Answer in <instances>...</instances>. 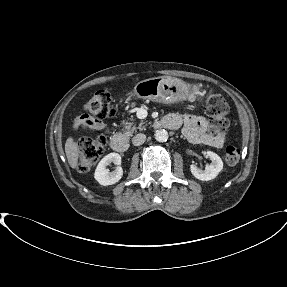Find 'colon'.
Instances as JSON below:
<instances>
[{"instance_id":"colon-1","label":"colon","mask_w":287,"mask_h":287,"mask_svg":"<svg viewBox=\"0 0 287 287\" xmlns=\"http://www.w3.org/2000/svg\"><path fill=\"white\" fill-rule=\"evenodd\" d=\"M85 110L88 117L105 119L112 118L116 114L111 94L106 90L96 92L86 103ZM206 114L210 118L212 133L224 134L228 129L229 121L226 115L229 106L223 96L216 91H210L206 97ZM106 145V137H83L78 141L79 164L81 172L89 171L103 155ZM240 150L232 145L225 148V159L227 163L234 165L240 160Z\"/></svg>"}]
</instances>
